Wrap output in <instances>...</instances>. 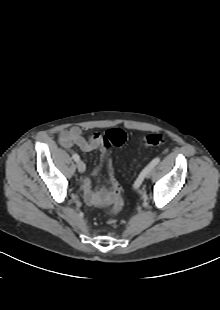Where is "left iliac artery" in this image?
Returning a JSON list of instances; mask_svg holds the SVG:
<instances>
[{"label":"left iliac artery","mask_w":220,"mask_h":310,"mask_svg":"<svg viewBox=\"0 0 220 310\" xmlns=\"http://www.w3.org/2000/svg\"><path fill=\"white\" fill-rule=\"evenodd\" d=\"M159 162H160V158H159V157H156V158H154V159L150 162V164H149L147 167H145V168L143 169V171L140 173V175L138 176V178L136 179V181H135L134 184H133L134 189H138V188L141 186V184H142V182H143V179H144V177H145V174H146L150 169H152L153 167H155Z\"/></svg>","instance_id":"left-iliac-artery-1"}]
</instances>
